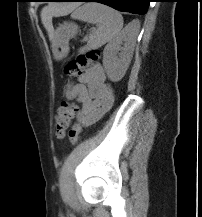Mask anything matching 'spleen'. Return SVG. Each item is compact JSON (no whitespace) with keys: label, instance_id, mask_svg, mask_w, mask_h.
Listing matches in <instances>:
<instances>
[{"label":"spleen","instance_id":"obj_1","mask_svg":"<svg viewBox=\"0 0 202 217\" xmlns=\"http://www.w3.org/2000/svg\"><path fill=\"white\" fill-rule=\"evenodd\" d=\"M73 19L96 24L97 29L89 36L87 47L94 49L116 37L123 28V17L115 9L100 3H87L77 8L72 14ZM138 32L139 24L134 25Z\"/></svg>","mask_w":202,"mask_h":217}]
</instances>
